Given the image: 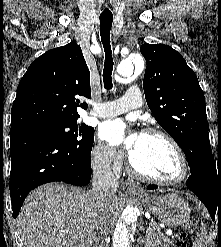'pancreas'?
<instances>
[{"instance_id": "cf45deb5", "label": "pancreas", "mask_w": 221, "mask_h": 247, "mask_svg": "<svg viewBox=\"0 0 221 247\" xmlns=\"http://www.w3.org/2000/svg\"><path fill=\"white\" fill-rule=\"evenodd\" d=\"M144 244L147 247H169L172 241L161 233L160 228L152 221L147 229Z\"/></svg>"}]
</instances>
